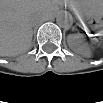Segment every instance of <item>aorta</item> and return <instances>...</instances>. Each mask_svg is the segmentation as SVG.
I'll return each mask as SVG.
<instances>
[{"label":"aorta","mask_w":103,"mask_h":103,"mask_svg":"<svg viewBox=\"0 0 103 103\" xmlns=\"http://www.w3.org/2000/svg\"><path fill=\"white\" fill-rule=\"evenodd\" d=\"M56 23L59 27L68 29L73 24V18L68 12H60L56 17Z\"/></svg>","instance_id":"aorta-1"}]
</instances>
